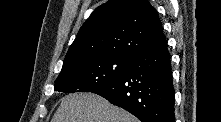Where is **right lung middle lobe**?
Segmentation results:
<instances>
[{
	"label": "right lung middle lobe",
	"instance_id": "1",
	"mask_svg": "<svg viewBox=\"0 0 221 122\" xmlns=\"http://www.w3.org/2000/svg\"><path fill=\"white\" fill-rule=\"evenodd\" d=\"M134 58L109 55L83 61L61 71L55 82V91L91 92L118 79Z\"/></svg>",
	"mask_w": 221,
	"mask_h": 122
}]
</instances>
